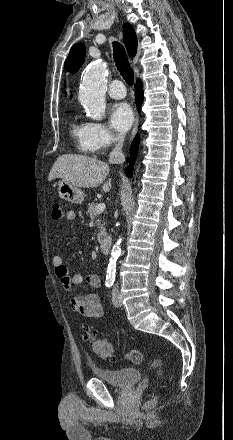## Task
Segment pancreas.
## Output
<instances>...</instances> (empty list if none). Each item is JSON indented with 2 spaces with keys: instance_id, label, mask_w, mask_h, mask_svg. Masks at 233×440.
Returning a JSON list of instances; mask_svg holds the SVG:
<instances>
[{
  "instance_id": "cf45deb5",
  "label": "pancreas",
  "mask_w": 233,
  "mask_h": 440,
  "mask_svg": "<svg viewBox=\"0 0 233 440\" xmlns=\"http://www.w3.org/2000/svg\"><path fill=\"white\" fill-rule=\"evenodd\" d=\"M96 207H97V203H89L88 207H87V211L86 214L89 215L91 218L94 217L97 213H96ZM96 222L99 224V233H98V241H100L101 237L106 235V230L104 228V223L101 224V220L97 219Z\"/></svg>"
}]
</instances>
